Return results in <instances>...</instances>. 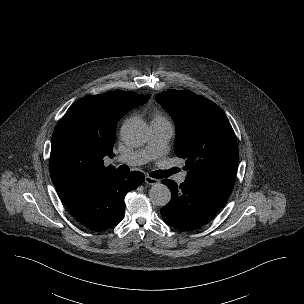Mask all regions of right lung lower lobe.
Listing matches in <instances>:
<instances>
[{
	"instance_id": "obj_1",
	"label": "right lung lower lobe",
	"mask_w": 304,
	"mask_h": 304,
	"mask_svg": "<svg viewBox=\"0 0 304 304\" xmlns=\"http://www.w3.org/2000/svg\"><path fill=\"white\" fill-rule=\"evenodd\" d=\"M141 172L130 174L111 171L97 180L88 194L69 208L72 216L84 226L103 231L116 226L124 216V197L144 182Z\"/></svg>"
}]
</instances>
